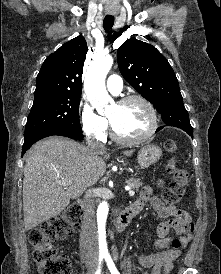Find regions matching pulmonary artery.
<instances>
[{
	"label": "pulmonary artery",
	"mask_w": 221,
	"mask_h": 274,
	"mask_svg": "<svg viewBox=\"0 0 221 274\" xmlns=\"http://www.w3.org/2000/svg\"><path fill=\"white\" fill-rule=\"evenodd\" d=\"M107 89L114 95L120 94L123 88L122 79L118 75H110L106 82Z\"/></svg>",
	"instance_id": "1"
}]
</instances>
